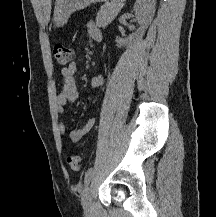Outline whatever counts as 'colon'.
Segmentation results:
<instances>
[{
	"mask_svg": "<svg viewBox=\"0 0 216 217\" xmlns=\"http://www.w3.org/2000/svg\"><path fill=\"white\" fill-rule=\"evenodd\" d=\"M53 56L59 67L66 68L72 60L73 52L70 47L58 43L53 48ZM67 163L75 172L81 169V159L77 155L68 156Z\"/></svg>",
	"mask_w": 216,
	"mask_h": 217,
	"instance_id": "obj_1",
	"label": "colon"
}]
</instances>
